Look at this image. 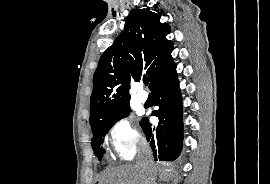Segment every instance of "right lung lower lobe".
I'll return each instance as SVG.
<instances>
[{"label":"right lung lower lobe","mask_w":270,"mask_h":184,"mask_svg":"<svg viewBox=\"0 0 270 184\" xmlns=\"http://www.w3.org/2000/svg\"><path fill=\"white\" fill-rule=\"evenodd\" d=\"M150 89L155 105L159 106L152 115L158 117L159 123L153 127L148 118H144L140 125L150 142L155 161H174L181 152L183 141L182 99L176 65L159 76Z\"/></svg>","instance_id":"98d812e1"}]
</instances>
